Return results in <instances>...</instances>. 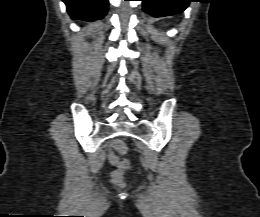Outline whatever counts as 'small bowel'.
<instances>
[{"label":"small bowel","mask_w":260,"mask_h":217,"mask_svg":"<svg viewBox=\"0 0 260 217\" xmlns=\"http://www.w3.org/2000/svg\"><path fill=\"white\" fill-rule=\"evenodd\" d=\"M109 159H110V162L113 164V165H116L117 162H118V159L116 157V155L111 151L110 154H109Z\"/></svg>","instance_id":"1"}]
</instances>
